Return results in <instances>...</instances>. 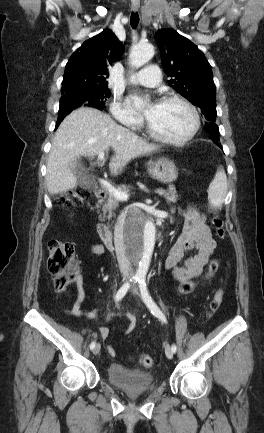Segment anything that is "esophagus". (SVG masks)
Wrapping results in <instances>:
<instances>
[{"label": "esophagus", "instance_id": "esophagus-1", "mask_svg": "<svg viewBox=\"0 0 264 433\" xmlns=\"http://www.w3.org/2000/svg\"><path fill=\"white\" fill-rule=\"evenodd\" d=\"M139 7H140V4H139L138 1H133V2H132V9H133L134 11H137V10L139 9Z\"/></svg>", "mask_w": 264, "mask_h": 433}]
</instances>
